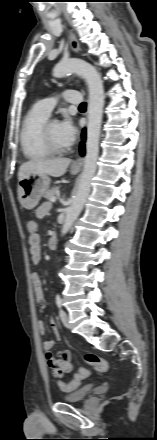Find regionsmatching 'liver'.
Segmentation results:
<instances>
[{
    "label": "liver",
    "instance_id": "obj_1",
    "mask_svg": "<svg viewBox=\"0 0 157 440\" xmlns=\"http://www.w3.org/2000/svg\"><path fill=\"white\" fill-rule=\"evenodd\" d=\"M71 159L53 158V159H33L23 163L18 172V180L31 174H46L52 177H61L65 174Z\"/></svg>",
    "mask_w": 157,
    "mask_h": 440
}]
</instances>
